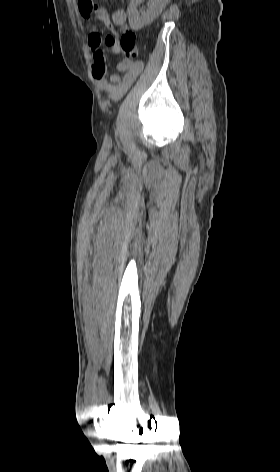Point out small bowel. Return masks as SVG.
<instances>
[{
	"mask_svg": "<svg viewBox=\"0 0 280 472\" xmlns=\"http://www.w3.org/2000/svg\"><path fill=\"white\" fill-rule=\"evenodd\" d=\"M90 0H79L78 8L81 16L88 19L92 14L101 21L110 34L105 38L101 36L99 31L93 30L88 37V45L93 55L92 75L96 80V86L99 90H105L108 93V99L111 101L120 100L143 70V62L130 59H123L117 65L119 74L106 76V60L105 49H109L112 53H120V44L118 34L115 27H119L123 31L127 30V14L124 9H116L111 15L106 10L92 1V8L89 9L87 4Z\"/></svg>",
	"mask_w": 280,
	"mask_h": 472,
	"instance_id": "small-bowel-1",
	"label": "small bowel"
}]
</instances>
